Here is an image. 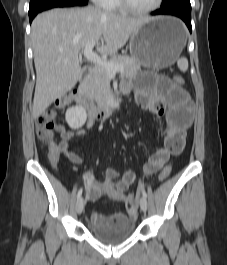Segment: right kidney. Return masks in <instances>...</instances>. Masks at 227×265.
I'll use <instances>...</instances> for the list:
<instances>
[{
    "instance_id": "ca27d5eb",
    "label": "right kidney",
    "mask_w": 227,
    "mask_h": 265,
    "mask_svg": "<svg viewBox=\"0 0 227 265\" xmlns=\"http://www.w3.org/2000/svg\"><path fill=\"white\" fill-rule=\"evenodd\" d=\"M65 118L71 129H79L86 122V110L81 105L73 106L66 111Z\"/></svg>"
}]
</instances>
